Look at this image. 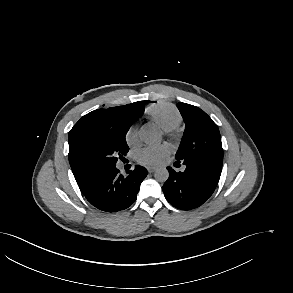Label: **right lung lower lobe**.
I'll return each instance as SVG.
<instances>
[{
    "label": "right lung lower lobe",
    "mask_w": 293,
    "mask_h": 293,
    "mask_svg": "<svg viewBox=\"0 0 293 293\" xmlns=\"http://www.w3.org/2000/svg\"><path fill=\"white\" fill-rule=\"evenodd\" d=\"M127 176L119 174L116 166L101 174L94 185L83 195L96 208L106 212H117L131 206L147 176L146 168L136 165Z\"/></svg>",
    "instance_id": "98d812e1"
}]
</instances>
